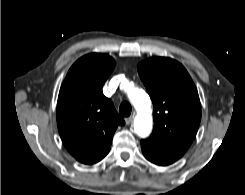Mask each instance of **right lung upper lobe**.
<instances>
[{
	"instance_id": "right-lung-upper-lobe-1",
	"label": "right lung upper lobe",
	"mask_w": 245,
	"mask_h": 195,
	"mask_svg": "<svg viewBox=\"0 0 245 195\" xmlns=\"http://www.w3.org/2000/svg\"><path fill=\"white\" fill-rule=\"evenodd\" d=\"M115 67L106 54L91 53L69 69L59 92L57 125L63 144L79 162L93 164L109 152L113 134L124 120L102 86Z\"/></svg>"
}]
</instances>
